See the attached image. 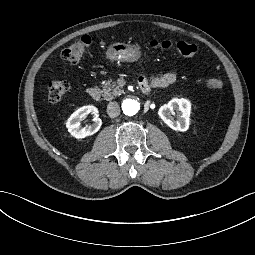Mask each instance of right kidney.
I'll use <instances>...</instances> for the list:
<instances>
[{
    "mask_svg": "<svg viewBox=\"0 0 255 255\" xmlns=\"http://www.w3.org/2000/svg\"><path fill=\"white\" fill-rule=\"evenodd\" d=\"M96 111L95 107L87 105L72 113L66 122V127L70 135L77 139H82L98 132L102 126V120L100 118L95 119L93 125L86 126L82 129L79 128L81 124L80 120L83 117H87L90 113L96 114Z\"/></svg>",
    "mask_w": 255,
    "mask_h": 255,
    "instance_id": "ca27d5eb",
    "label": "right kidney"
}]
</instances>
